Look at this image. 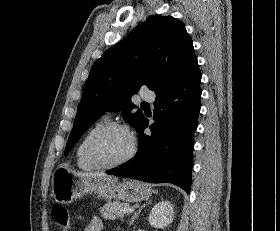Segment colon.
I'll use <instances>...</instances> for the list:
<instances>
[{"mask_svg":"<svg viewBox=\"0 0 280 231\" xmlns=\"http://www.w3.org/2000/svg\"><path fill=\"white\" fill-rule=\"evenodd\" d=\"M59 208H51V213L54 215L55 220H61V225L58 226L59 230L68 231L71 229L72 220H68V211L67 208L59 205Z\"/></svg>","mask_w":280,"mask_h":231,"instance_id":"5ec220e1","label":"colon"}]
</instances>
